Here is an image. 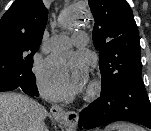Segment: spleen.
Wrapping results in <instances>:
<instances>
[{
  "label": "spleen",
  "mask_w": 151,
  "mask_h": 131,
  "mask_svg": "<svg viewBox=\"0 0 151 131\" xmlns=\"http://www.w3.org/2000/svg\"><path fill=\"white\" fill-rule=\"evenodd\" d=\"M105 131H144V130L139 126L133 124L115 123L108 125L105 128Z\"/></svg>",
  "instance_id": "obj_1"
}]
</instances>
